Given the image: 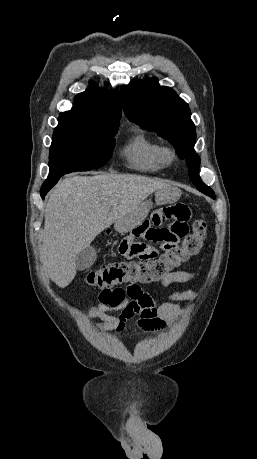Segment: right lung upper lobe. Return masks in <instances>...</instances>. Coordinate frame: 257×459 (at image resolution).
Wrapping results in <instances>:
<instances>
[{"instance_id":"right-lung-upper-lobe-1","label":"right lung upper lobe","mask_w":257,"mask_h":459,"mask_svg":"<svg viewBox=\"0 0 257 459\" xmlns=\"http://www.w3.org/2000/svg\"><path fill=\"white\" fill-rule=\"evenodd\" d=\"M93 85L75 97L73 108L62 112L59 120L98 128H118L121 117L118 90H99Z\"/></svg>"}]
</instances>
